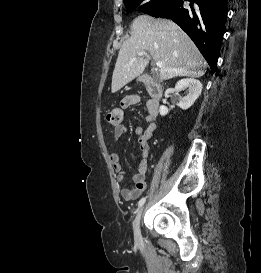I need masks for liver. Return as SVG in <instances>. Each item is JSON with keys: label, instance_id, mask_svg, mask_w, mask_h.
Listing matches in <instances>:
<instances>
[{"label": "liver", "instance_id": "obj_1", "mask_svg": "<svg viewBox=\"0 0 261 273\" xmlns=\"http://www.w3.org/2000/svg\"><path fill=\"white\" fill-rule=\"evenodd\" d=\"M162 62L160 80L174 77L199 78L205 74L206 62L189 36L174 22L142 15L131 26V37L119 51L112 76L111 92L116 93L140 76L150 56Z\"/></svg>", "mask_w": 261, "mask_h": 273}]
</instances>
